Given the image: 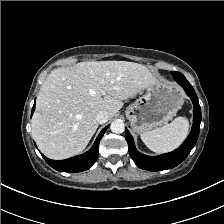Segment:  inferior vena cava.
<instances>
[{
  "mask_svg": "<svg viewBox=\"0 0 224 224\" xmlns=\"http://www.w3.org/2000/svg\"><path fill=\"white\" fill-rule=\"evenodd\" d=\"M109 115L107 111H100L96 115V120L99 124H104L108 121Z\"/></svg>",
  "mask_w": 224,
  "mask_h": 224,
  "instance_id": "obj_1",
  "label": "inferior vena cava"
}]
</instances>
